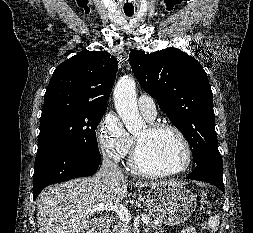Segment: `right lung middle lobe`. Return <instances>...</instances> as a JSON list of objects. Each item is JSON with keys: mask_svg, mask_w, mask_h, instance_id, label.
I'll use <instances>...</instances> for the list:
<instances>
[{"mask_svg": "<svg viewBox=\"0 0 253 233\" xmlns=\"http://www.w3.org/2000/svg\"><path fill=\"white\" fill-rule=\"evenodd\" d=\"M106 108L104 105L89 103L44 104L38 151L50 146H59L101 156L95 130Z\"/></svg>", "mask_w": 253, "mask_h": 233, "instance_id": "obj_1", "label": "right lung middle lobe"}]
</instances>
